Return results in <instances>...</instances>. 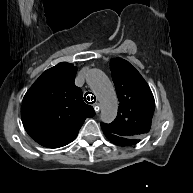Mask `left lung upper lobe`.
<instances>
[{
    "mask_svg": "<svg viewBox=\"0 0 193 193\" xmlns=\"http://www.w3.org/2000/svg\"><path fill=\"white\" fill-rule=\"evenodd\" d=\"M110 69L119 99L118 113L110 124L101 123L104 133L136 144L149 132L154 97L140 73L126 60L111 59Z\"/></svg>",
    "mask_w": 193,
    "mask_h": 193,
    "instance_id": "left-lung-upper-lobe-1",
    "label": "left lung upper lobe"
}]
</instances>
